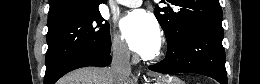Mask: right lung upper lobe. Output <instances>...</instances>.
Instances as JSON below:
<instances>
[{
  "mask_svg": "<svg viewBox=\"0 0 260 84\" xmlns=\"http://www.w3.org/2000/svg\"><path fill=\"white\" fill-rule=\"evenodd\" d=\"M106 0H49L48 28L99 11Z\"/></svg>",
  "mask_w": 260,
  "mask_h": 84,
  "instance_id": "cb5924a9",
  "label": "right lung upper lobe"
}]
</instances>
